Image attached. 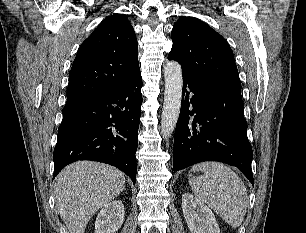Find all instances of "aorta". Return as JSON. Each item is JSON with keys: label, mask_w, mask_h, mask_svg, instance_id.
<instances>
[{"label": "aorta", "mask_w": 306, "mask_h": 233, "mask_svg": "<svg viewBox=\"0 0 306 233\" xmlns=\"http://www.w3.org/2000/svg\"><path fill=\"white\" fill-rule=\"evenodd\" d=\"M165 93L161 117V134L163 138L171 136L179 117L182 99L183 77L181 65L168 61L164 68Z\"/></svg>", "instance_id": "aorta-1"}]
</instances>
